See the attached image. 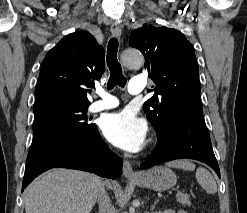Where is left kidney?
<instances>
[{
	"mask_svg": "<svg viewBox=\"0 0 247 213\" xmlns=\"http://www.w3.org/2000/svg\"><path fill=\"white\" fill-rule=\"evenodd\" d=\"M178 213H187V212H185V211H179Z\"/></svg>",
	"mask_w": 247,
	"mask_h": 213,
	"instance_id": "1",
	"label": "left kidney"
}]
</instances>
